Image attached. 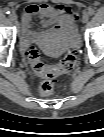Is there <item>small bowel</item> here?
<instances>
[{
    "label": "small bowel",
    "instance_id": "small-bowel-1",
    "mask_svg": "<svg viewBox=\"0 0 104 137\" xmlns=\"http://www.w3.org/2000/svg\"><path fill=\"white\" fill-rule=\"evenodd\" d=\"M36 16L41 18L43 26L52 27L53 30L58 32H70L73 29V21L77 19L72 10L62 4L43 3L28 5L22 14L24 45L32 42L37 37L31 29L33 18ZM71 36L75 39L73 35Z\"/></svg>",
    "mask_w": 104,
    "mask_h": 137
}]
</instances>
